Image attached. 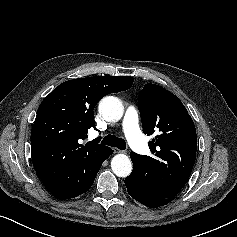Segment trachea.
Segmentation results:
<instances>
[{
	"instance_id": "obj_1",
	"label": "trachea",
	"mask_w": 237,
	"mask_h": 237,
	"mask_svg": "<svg viewBox=\"0 0 237 237\" xmlns=\"http://www.w3.org/2000/svg\"><path fill=\"white\" fill-rule=\"evenodd\" d=\"M102 144L111 146V147H116L121 150H125L126 148V143L124 139L118 138L114 135H107L103 138Z\"/></svg>"
}]
</instances>
